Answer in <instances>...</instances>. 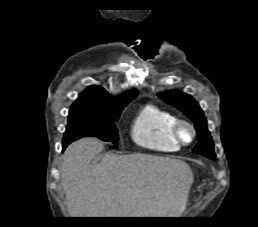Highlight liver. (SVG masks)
Masks as SVG:
<instances>
[{"instance_id": "liver-1", "label": "liver", "mask_w": 258, "mask_h": 227, "mask_svg": "<svg viewBox=\"0 0 258 227\" xmlns=\"http://www.w3.org/2000/svg\"><path fill=\"white\" fill-rule=\"evenodd\" d=\"M82 138L62 156L61 185L71 217H178L185 210L192 170L184 161L147 154H106Z\"/></svg>"}]
</instances>
